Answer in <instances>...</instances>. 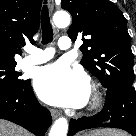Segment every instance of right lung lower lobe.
<instances>
[{
  "label": "right lung lower lobe",
  "instance_id": "98d812e1",
  "mask_svg": "<svg viewBox=\"0 0 136 136\" xmlns=\"http://www.w3.org/2000/svg\"><path fill=\"white\" fill-rule=\"evenodd\" d=\"M0 118L14 122L36 136H43L52 118L37 101L30 79L14 90L0 91Z\"/></svg>",
  "mask_w": 136,
  "mask_h": 136
}]
</instances>
